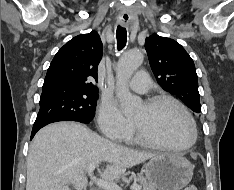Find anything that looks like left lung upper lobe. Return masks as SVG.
<instances>
[{"label": "left lung upper lobe", "instance_id": "5c2ea615", "mask_svg": "<svg viewBox=\"0 0 234 190\" xmlns=\"http://www.w3.org/2000/svg\"><path fill=\"white\" fill-rule=\"evenodd\" d=\"M151 69L162 88L181 99L194 114L201 112L198 76L193 60L175 40L153 34L145 40Z\"/></svg>", "mask_w": 234, "mask_h": 190}]
</instances>
